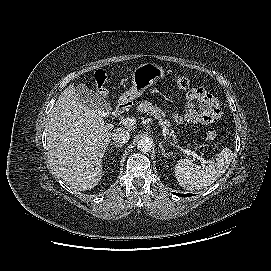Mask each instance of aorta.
<instances>
[{
  "label": "aorta",
  "instance_id": "762f6f07",
  "mask_svg": "<svg viewBox=\"0 0 271 271\" xmlns=\"http://www.w3.org/2000/svg\"><path fill=\"white\" fill-rule=\"evenodd\" d=\"M152 146H153V141L151 140V138L147 136H142L137 142V147L142 152L150 151Z\"/></svg>",
  "mask_w": 271,
  "mask_h": 271
}]
</instances>
